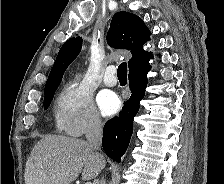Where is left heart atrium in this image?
<instances>
[{"instance_id":"39dd6f15","label":"left heart atrium","mask_w":224,"mask_h":184,"mask_svg":"<svg viewBox=\"0 0 224 184\" xmlns=\"http://www.w3.org/2000/svg\"><path fill=\"white\" fill-rule=\"evenodd\" d=\"M98 104L103 115L110 116L115 114L121 106V101L112 92H104L98 99Z\"/></svg>"}]
</instances>
